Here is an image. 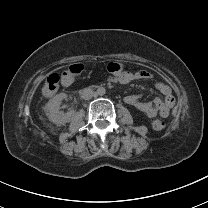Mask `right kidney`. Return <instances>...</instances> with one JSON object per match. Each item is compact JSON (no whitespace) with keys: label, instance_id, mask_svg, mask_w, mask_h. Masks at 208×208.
I'll use <instances>...</instances> for the list:
<instances>
[{"label":"right kidney","instance_id":"right-kidney-1","mask_svg":"<svg viewBox=\"0 0 208 208\" xmlns=\"http://www.w3.org/2000/svg\"><path fill=\"white\" fill-rule=\"evenodd\" d=\"M65 98H67V94L59 93L50 99L46 105L49 120L57 125L65 124L71 120V116L60 111L61 101Z\"/></svg>","mask_w":208,"mask_h":208}]
</instances>
